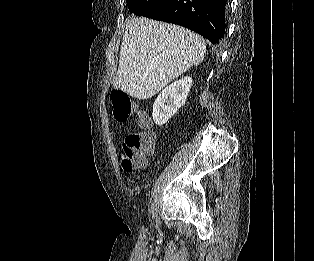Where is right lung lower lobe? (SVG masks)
I'll use <instances>...</instances> for the list:
<instances>
[{"label": "right lung lower lobe", "instance_id": "right-lung-lower-lobe-1", "mask_svg": "<svg viewBox=\"0 0 314 261\" xmlns=\"http://www.w3.org/2000/svg\"><path fill=\"white\" fill-rule=\"evenodd\" d=\"M228 0H165L144 16L178 24L219 44L226 28Z\"/></svg>", "mask_w": 314, "mask_h": 261}]
</instances>
